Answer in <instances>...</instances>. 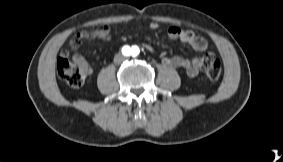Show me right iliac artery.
Segmentation results:
<instances>
[{
  "label": "right iliac artery",
  "mask_w": 283,
  "mask_h": 162,
  "mask_svg": "<svg viewBox=\"0 0 283 162\" xmlns=\"http://www.w3.org/2000/svg\"><path fill=\"white\" fill-rule=\"evenodd\" d=\"M122 53H123L124 55H129V54L131 53L130 47H129V46H124V47L122 48Z\"/></svg>",
  "instance_id": "82829eb1"
}]
</instances>
